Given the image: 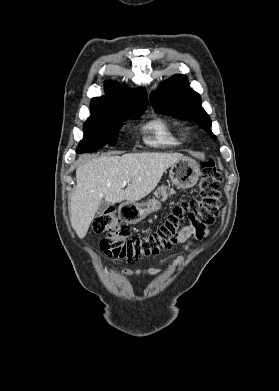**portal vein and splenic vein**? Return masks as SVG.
I'll return each instance as SVG.
<instances>
[{
	"label": "portal vein and splenic vein",
	"instance_id": "18ae733b",
	"mask_svg": "<svg viewBox=\"0 0 279 391\" xmlns=\"http://www.w3.org/2000/svg\"><path fill=\"white\" fill-rule=\"evenodd\" d=\"M127 183H129V180H124V181L122 182V185L125 186Z\"/></svg>",
	"mask_w": 279,
	"mask_h": 391
}]
</instances>
